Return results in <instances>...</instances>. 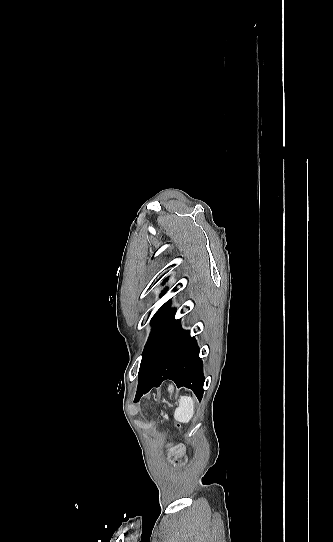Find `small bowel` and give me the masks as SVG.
<instances>
[{"mask_svg":"<svg viewBox=\"0 0 333 542\" xmlns=\"http://www.w3.org/2000/svg\"><path fill=\"white\" fill-rule=\"evenodd\" d=\"M171 451L174 455H182L185 452V447L182 445H173L170 444Z\"/></svg>","mask_w":333,"mask_h":542,"instance_id":"small-bowel-1","label":"small bowel"}]
</instances>
